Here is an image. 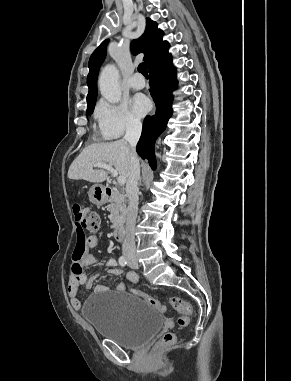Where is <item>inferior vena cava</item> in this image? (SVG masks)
I'll list each match as a JSON object with an SVG mask.
<instances>
[{"instance_id":"obj_1","label":"inferior vena cava","mask_w":291,"mask_h":381,"mask_svg":"<svg viewBox=\"0 0 291 381\" xmlns=\"http://www.w3.org/2000/svg\"><path fill=\"white\" fill-rule=\"evenodd\" d=\"M142 125L140 121L132 120L127 126L124 140L129 144L130 172L126 183V193L129 200L126 218V236L122 245L123 254H135V223L138 213V180L140 166L135 147L141 136Z\"/></svg>"}]
</instances>
